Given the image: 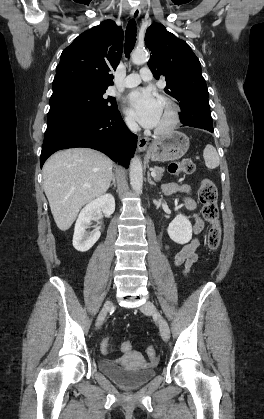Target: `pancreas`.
<instances>
[{
  "label": "pancreas",
  "instance_id": "obj_1",
  "mask_svg": "<svg viewBox=\"0 0 264 419\" xmlns=\"http://www.w3.org/2000/svg\"><path fill=\"white\" fill-rule=\"evenodd\" d=\"M154 171L156 172V176L154 177V179L156 181L161 180L162 176H163V172H164V168L161 167H155Z\"/></svg>",
  "mask_w": 264,
  "mask_h": 419
}]
</instances>
